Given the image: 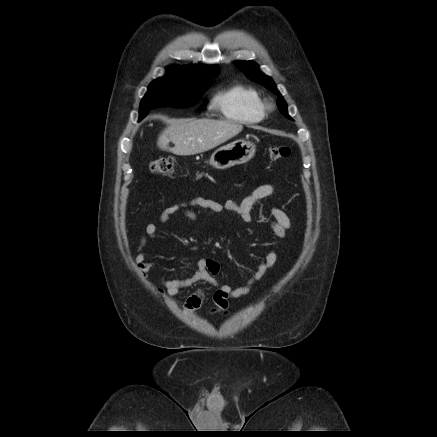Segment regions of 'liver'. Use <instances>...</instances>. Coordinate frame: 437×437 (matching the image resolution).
Wrapping results in <instances>:
<instances>
[{"mask_svg":"<svg viewBox=\"0 0 437 437\" xmlns=\"http://www.w3.org/2000/svg\"><path fill=\"white\" fill-rule=\"evenodd\" d=\"M242 129L241 124L228 120L176 119L159 135L157 145L176 155H195L217 147Z\"/></svg>","mask_w":437,"mask_h":437,"instance_id":"1","label":"liver"}]
</instances>
